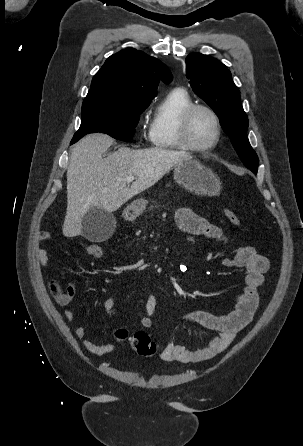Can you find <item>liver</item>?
Wrapping results in <instances>:
<instances>
[{"label": "liver", "instance_id": "liver-1", "mask_svg": "<svg viewBox=\"0 0 303 446\" xmlns=\"http://www.w3.org/2000/svg\"><path fill=\"white\" fill-rule=\"evenodd\" d=\"M113 144L105 134H90L72 149L67 169V211L63 234H81L84 215L92 208L116 211L133 196L157 183L172 167L191 159L184 152L165 149L134 150L125 146L103 158ZM135 176L131 186L125 179Z\"/></svg>", "mask_w": 303, "mask_h": 446}]
</instances>
